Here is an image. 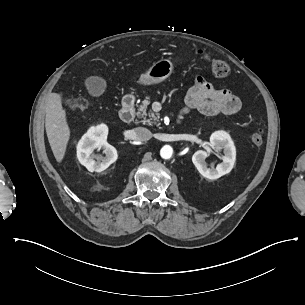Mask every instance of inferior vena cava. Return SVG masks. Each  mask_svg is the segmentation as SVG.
<instances>
[{"label": "inferior vena cava", "instance_id": "602c4592", "mask_svg": "<svg viewBox=\"0 0 305 305\" xmlns=\"http://www.w3.org/2000/svg\"><path fill=\"white\" fill-rule=\"evenodd\" d=\"M133 137L137 141H147L152 137L150 130L144 127H137L132 131Z\"/></svg>", "mask_w": 305, "mask_h": 305}]
</instances>
